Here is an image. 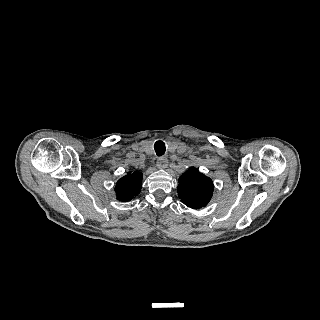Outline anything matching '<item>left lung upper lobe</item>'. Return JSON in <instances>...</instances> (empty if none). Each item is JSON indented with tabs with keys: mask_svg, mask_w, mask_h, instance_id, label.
I'll use <instances>...</instances> for the list:
<instances>
[{
	"mask_svg": "<svg viewBox=\"0 0 320 320\" xmlns=\"http://www.w3.org/2000/svg\"><path fill=\"white\" fill-rule=\"evenodd\" d=\"M178 181V196L185 205L200 209L209 203L214 185L212 180L198 169L190 167Z\"/></svg>",
	"mask_w": 320,
	"mask_h": 320,
	"instance_id": "left-lung-upper-lobe-1",
	"label": "left lung upper lobe"
}]
</instances>
